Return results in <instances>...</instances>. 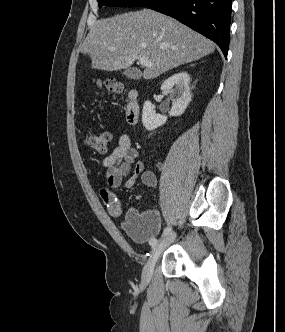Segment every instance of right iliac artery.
Wrapping results in <instances>:
<instances>
[{
	"mask_svg": "<svg viewBox=\"0 0 285 332\" xmlns=\"http://www.w3.org/2000/svg\"><path fill=\"white\" fill-rule=\"evenodd\" d=\"M170 232H171V227L170 226L166 227L163 231L162 237L167 236ZM156 244H157V241H155V240L152 241L151 242L152 248H154L156 246Z\"/></svg>",
	"mask_w": 285,
	"mask_h": 332,
	"instance_id": "right-iliac-artery-1",
	"label": "right iliac artery"
}]
</instances>
